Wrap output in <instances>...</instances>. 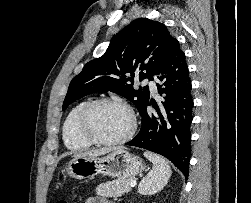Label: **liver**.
Masks as SVG:
<instances>
[{
    "label": "liver",
    "mask_w": 251,
    "mask_h": 203,
    "mask_svg": "<svg viewBox=\"0 0 251 203\" xmlns=\"http://www.w3.org/2000/svg\"><path fill=\"white\" fill-rule=\"evenodd\" d=\"M114 150H116V149L101 148V149H97V150H90V151L80 152V153L75 154L73 157L74 158L87 157V156L98 157V156L108 154V153H110V152H112Z\"/></svg>",
    "instance_id": "1"
}]
</instances>
